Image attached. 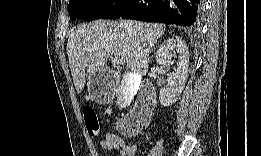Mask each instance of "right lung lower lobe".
I'll return each mask as SVG.
<instances>
[{
    "mask_svg": "<svg viewBox=\"0 0 261 156\" xmlns=\"http://www.w3.org/2000/svg\"><path fill=\"white\" fill-rule=\"evenodd\" d=\"M201 7L200 0H118L101 18L122 17L197 27Z\"/></svg>",
    "mask_w": 261,
    "mask_h": 156,
    "instance_id": "1",
    "label": "right lung lower lobe"
}]
</instances>
